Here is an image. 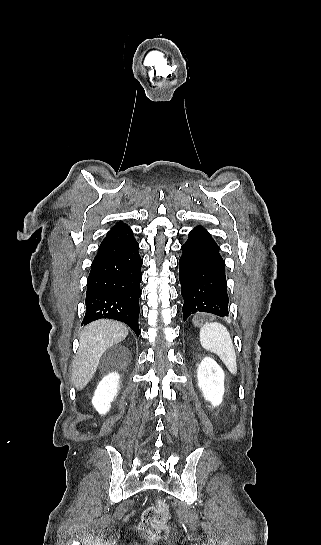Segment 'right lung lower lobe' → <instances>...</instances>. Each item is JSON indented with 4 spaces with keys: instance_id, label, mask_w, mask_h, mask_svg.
I'll return each mask as SVG.
<instances>
[{
    "instance_id": "obj_1",
    "label": "right lung lower lobe",
    "mask_w": 321,
    "mask_h": 545,
    "mask_svg": "<svg viewBox=\"0 0 321 545\" xmlns=\"http://www.w3.org/2000/svg\"><path fill=\"white\" fill-rule=\"evenodd\" d=\"M139 244L126 225L111 229L93 260L82 324L110 318L122 321L139 336V297L142 259Z\"/></svg>"
}]
</instances>
